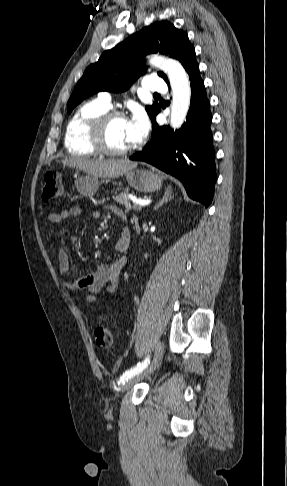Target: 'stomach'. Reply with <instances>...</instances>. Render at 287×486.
<instances>
[{
    "instance_id": "obj_1",
    "label": "stomach",
    "mask_w": 287,
    "mask_h": 486,
    "mask_svg": "<svg viewBox=\"0 0 287 486\" xmlns=\"http://www.w3.org/2000/svg\"><path fill=\"white\" fill-rule=\"evenodd\" d=\"M128 184L140 192H155L162 187V178L145 169H132L125 173ZM100 182L97 177L88 175L76 180L77 191L85 197L93 196L98 190Z\"/></svg>"
}]
</instances>
